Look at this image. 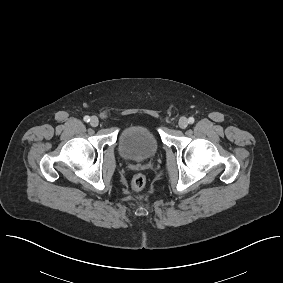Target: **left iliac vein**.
I'll return each mask as SVG.
<instances>
[{"mask_svg":"<svg viewBox=\"0 0 283 283\" xmlns=\"http://www.w3.org/2000/svg\"><path fill=\"white\" fill-rule=\"evenodd\" d=\"M178 125L180 128L185 129L188 126V120L185 117L179 119Z\"/></svg>","mask_w":283,"mask_h":283,"instance_id":"obj_1","label":"left iliac vein"}]
</instances>
